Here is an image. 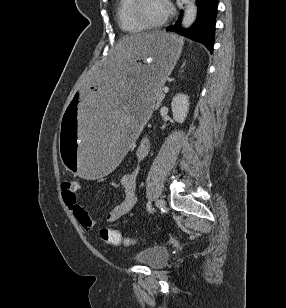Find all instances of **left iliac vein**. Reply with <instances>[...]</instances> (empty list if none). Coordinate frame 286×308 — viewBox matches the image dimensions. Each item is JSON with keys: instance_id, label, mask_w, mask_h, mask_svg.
I'll return each instance as SVG.
<instances>
[{"instance_id": "obj_1", "label": "left iliac vein", "mask_w": 286, "mask_h": 308, "mask_svg": "<svg viewBox=\"0 0 286 308\" xmlns=\"http://www.w3.org/2000/svg\"><path fill=\"white\" fill-rule=\"evenodd\" d=\"M156 206L159 208V209H162L165 207V201L163 199H158L156 201Z\"/></svg>"}]
</instances>
